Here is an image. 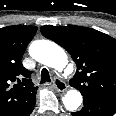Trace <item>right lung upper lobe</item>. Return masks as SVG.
<instances>
[{"instance_id":"1","label":"right lung upper lobe","mask_w":116,"mask_h":116,"mask_svg":"<svg viewBox=\"0 0 116 116\" xmlns=\"http://www.w3.org/2000/svg\"><path fill=\"white\" fill-rule=\"evenodd\" d=\"M36 31L26 25L0 29V116H23L35 105L37 87L21 59Z\"/></svg>"}]
</instances>
